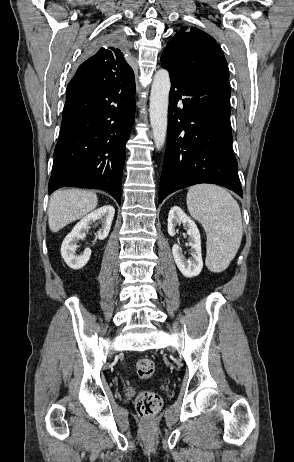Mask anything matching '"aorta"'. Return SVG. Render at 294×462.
I'll use <instances>...</instances> for the list:
<instances>
[{
    "label": "aorta",
    "instance_id": "762f6f07",
    "mask_svg": "<svg viewBox=\"0 0 294 462\" xmlns=\"http://www.w3.org/2000/svg\"><path fill=\"white\" fill-rule=\"evenodd\" d=\"M170 77L165 69L158 70L153 79L150 94V123L157 149L163 147L168 124V103L170 92Z\"/></svg>",
    "mask_w": 294,
    "mask_h": 462
}]
</instances>
